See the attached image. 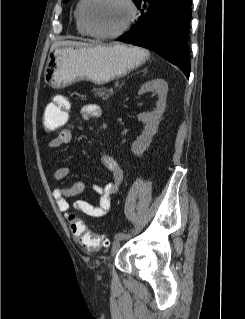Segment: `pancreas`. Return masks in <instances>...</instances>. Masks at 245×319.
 I'll return each instance as SVG.
<instances>
[{
    "mask_svg": "<svg viewBox=\"0 0 245 319\" xmlns=\"http://www.w3.org/2000/svg\"><path fill=\"white\" fill-rule=\"evenodd\" d=\"M93 92H95V95H98L103 100H107L112 95V92L109 91L107 88H94Z\"/></svg>",
    "mask_w": 245,
    "mask_h": 319,
    "instance_id": "pancreas-1",
    "label": "pancreas"
}]
</instances>
